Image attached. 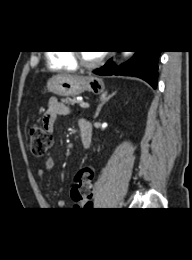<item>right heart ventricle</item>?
<instances>
[{
	"label": "right heart ventricle",
	"mask_w": 192,
	"mask_h": 260,
	"mask_svg": "<svg viewBox=\"0 0 192 260\" xmlns=\"http://www.w3.org/2000/svg\"><path fill=\"white\" fill-rule=\"evenodd\" d=\"M48 64L54 70L74 71L78 67L70 51L49 54Z\"/></svg>",
	"instance_id": "1"
}]
</instances>
